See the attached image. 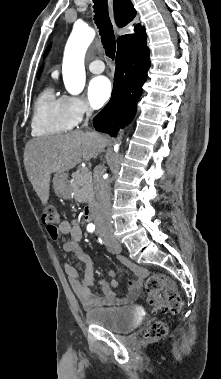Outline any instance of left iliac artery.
<instances>
[{"mask_svg":"<svg viewBox=\"0 0 221 379\" xmlns=\"http://www.w3.org/2000/svg\"><path fill=\"white\" fill-rule=\"evenodd\" d=\"M99 242H100V243H102V240H101V239H99Z\"/></svg>","mask_w":221,"mask_h":379,"instance_id":"44dca946","label":"left iliac artery"}]
</instances>
